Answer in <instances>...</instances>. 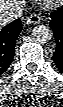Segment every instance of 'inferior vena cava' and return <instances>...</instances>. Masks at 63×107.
<instances>
[{
    "instance_id": "inferior-vena-cava-1",
    "label": "inferior vena cava",
    "mask_w": 63,
    "mask_h": 107,
    "mask_svg": "<svg viewBox=\"0 0 63 107\" xmlns=\"http://www.w3.org/2000/svg\"><path fill=\"white\" fill-rule=\"evenodd\" d=\"M11 5L7 6L2 2L0 15L2 19H7L9 21L20 18L23 15L25 1L24 0H13L10 1Z\"/></svg>"
}]
</instances>
